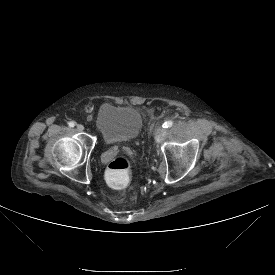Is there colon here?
Returning a JSON list of instances; mask_svg holds the SVG:
<instances>
[{
	"label": "colon",
	"instance_id": "1",
	"mask_svg": "<svg viewBox=\"0 0 275 275\" xmlns=\"http://www.w3.org/2000/svg\"><path fill=\"white\" fill-rule=\"evenodd\" d=\"M131 164L124 156H115L106 168V179L116 187H124L130 180Z\"/></svg>",
	"mask_w": 275,
	"mask_h": 275
}]
</instances>
